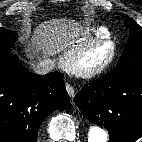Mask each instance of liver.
<instances>
[{
    "instance_id": "liver-1",
    "label": "liver",
    "mask_w": 142,
    "mask_h": 142,
    "mask_svg": "<svg viewBox=\"0 0 142 142\" xmlns=\"http://www.w3.org/2000/svg\"><path fill=\"white\" fill-rule=\"evenodd\" d=\"M78 25L66 19H53L40 24L34 31L33 46L44 55H54L71 46Z\"/></svg>"
}]
</instances>
